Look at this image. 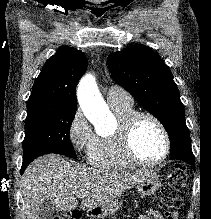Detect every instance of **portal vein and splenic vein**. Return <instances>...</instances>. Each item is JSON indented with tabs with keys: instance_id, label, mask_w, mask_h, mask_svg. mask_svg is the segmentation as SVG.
<instances>
[{
	"instance_id": "18ae733b",
	"label": "portal vein and splenic vein",
	"mask_w": 211,
	"mask_h": 219,
	"mask_svg": "<svg viewBox=\"0 0 211 219\" xmlns=\"http://www.w3.org/2000/svg\"><path fill=\"white\" fill-rule=\"evenodd\" d=\"M76 196H77L78 198H80V199H83V198L86 197V194H85V193H79V194H77Z\"/></svg>"
}]
</instances>
